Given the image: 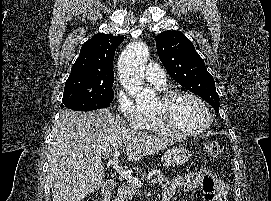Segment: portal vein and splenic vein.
I'll return each mask as SVG.
<instances>
[{
  "instance_id": "18ae733b",
  "label": "portal vein and splenic vein",
  "mask_w": 271,
  "mask_h": 201,
  "mask_svg": "<svg viewBox=\"0 0 271 201\" xmlns=\"http://www.w3.org/2000/svg\"><path fill=\"white\" fill-rule=\"evenodd\" d=\"M111 156L113 157V159H112L113 168L116 170V172L121 177H123L124 179H126L128 182H130L131 184H133L135 186H139V187L142 186V182L138 178H136L135 176H132L131 173L123 170V168L121 166H119V164H118V159L120 156L119 150L115 151L114 154L108 155V157H111ZM151 183L155 184V183H157V180L152 179Z\"/></svg>"
}]
</instances>
